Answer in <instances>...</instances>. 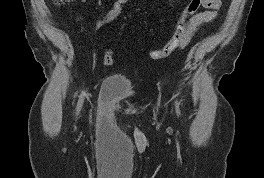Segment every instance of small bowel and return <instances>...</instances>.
Masks as SVG:
<instances>
[{
  "label": "small bowel",
  "instance_id": "1",
  "mask_svg": "<svg viewBox=\"0 0 264 178\" xmlns=\"http://www.w3.org/2000/svg\"><path fill=\"white\" fill-rule=\"evenodd\" d=\"M130 2V0H116L111 9L108 10L96 23L94 29H98L105 24L112 23L115 21L123 12L125 6ZM221 0H207V4L204 7L205 10L197 13L191 23L192 26L197 29L201 24L211 21L215 15L216 11L221 7Z\"/></svg>",
  "mask_w": 264,
  "mask_h": 178
}]
</instances>
